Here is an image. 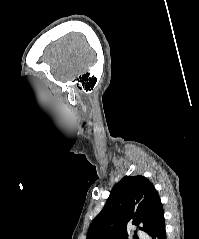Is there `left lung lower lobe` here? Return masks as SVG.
Returning a JSON list of instances; mask_svg holds the SVG:
<instances>
[{"label":"left lung lower lobe","mask_w":199,"mask_h":239,"mask_svg":"<svg viewBox=\"0 0 199 239\" xmlns=\"http://www.w3.org/2000/svg\"><path fill=\"white\" fill-rule=\"evenodd\" d=\"M147 234L151 237V239H166L163 209L159 212V214L152 222L150 228L147 231Z\"/></svg>","instance_id":"1"}]
</instances>
